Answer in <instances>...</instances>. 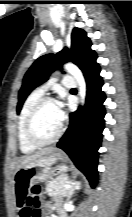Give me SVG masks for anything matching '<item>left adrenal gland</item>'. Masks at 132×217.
I'll return each mask as SVG.
<instances>
[{"mask_svg":"<svg viewBox=\"0 0 132 217\" xmlns=\"http://www.w3.org/2000/svg\"><path fill=\"white\" fill-rule=\"evenodd\" d=\"M81 188V183L79 181H74L71 183V187L69 193L67 195V199L70 200L75 190H79Z\"/></svg>","mask_w":132,"mask_h":217,"instance_id":"left-adrenal-gland-1","label":"left adrenal gland"}]
</instances>
